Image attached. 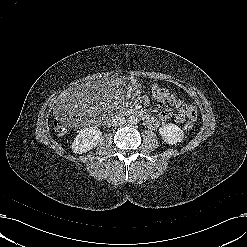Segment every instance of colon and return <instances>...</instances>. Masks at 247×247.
<instances>
[{"mask_svg": "<svg viewBox=\"0 0 247 247\" xmlns=\"http://www.w3.org/2000/svg\"><path fill=\"white\" fill-rule=\"evenodd\" d=\"M151 96L156 101H161L166 96V91L161 86H156L151 91ZM75 115L69 114L68 116H65L57 121L54 122V129L57 134L63 135L66 132V122L69 119V117H73ZM195 119H189L188 122L185 125L186 130H191L194 127Z\"/></svg>", "mask_w": 247, "mask_h": 247, "instance_id": "colon-1", "label": "colon"}]
</instances>
